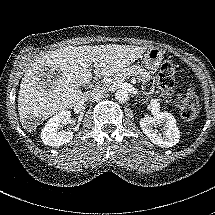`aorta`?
I'll return each instance as SVG.
<instances>
[{
	"instance_id": "obj_1",
	"label": "aorta",
	"mask_w": 215,
	"mask_h": 215,
	"mask_svg": "<svg viewBox=\"0 0 215 215\" xmlns=\"http://www.w3.org/2000/svg\"><path fill=\"white\" fill-rule=\"evenodd\" d=\"M115 99L120 103H125L129 100V94L124 89H119L115 92Z\"/></svg>"
}]
</instances>
